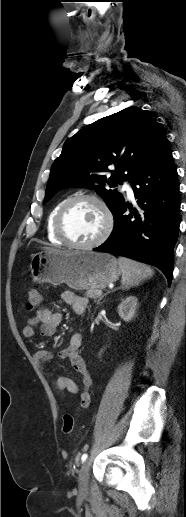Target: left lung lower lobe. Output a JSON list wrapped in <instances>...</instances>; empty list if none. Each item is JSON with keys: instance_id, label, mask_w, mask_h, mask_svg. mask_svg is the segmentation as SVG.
Wrapping results in <instances>:
<instances>
[{"instance_id": "1", "label": "left lung lower lobe", "mask_w": 186, "mask_h": 517, "mask_svg": "<svg viewBox=\"0 0 186 517\" xmlns=\"http://www.w3.org/2000/svg\"><path fill=\"white\" fill-rule=\"evenodd\" d=\"M138 206L128 203L114 213L110 237L95 251L126 256L158 267L169 284L180 225L177 168L166 137L131 178ZM137 185V186H136Z\"/></svg>"}]
</instances>
